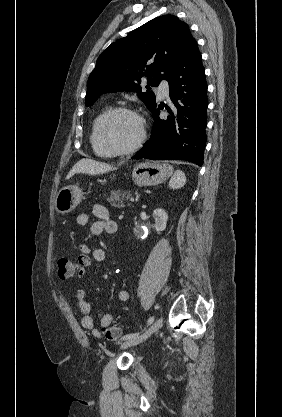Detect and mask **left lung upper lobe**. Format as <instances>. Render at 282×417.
Returning a JSON list of instances; mask_svg holds the SVG:
<instances>
[{
  "label": "left lung upper lobe",
  "mask_w": 282,
  "mask_h": 417,
  "mask_svg": "<svg viewBox=\"0 0 282 417\" xmlns=\"http://www.w3.org/2000/svg\"><path fill=\"white\" fill-rule=\"evenodd\" d=\"M195 39L188 25L174 15L157 17L112 43L99 56L89 76L86 106L107 92L134 91L151 110L156 106L152 86H158L183 49ZM147 78V91L141 80Z\"/></svg>",
  "instance_id": "1"
}]
</instances>
